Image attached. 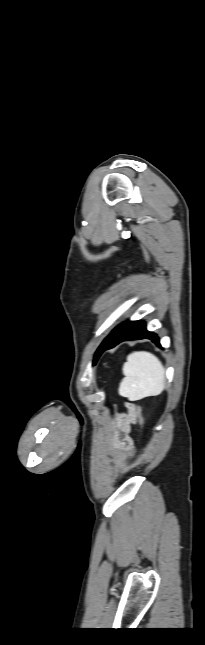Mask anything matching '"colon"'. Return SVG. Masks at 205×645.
I'll return each instance as SVG.
<instances>
[{
    "label": "colon",
    "instance_id": "colon-1",
    "mask_svg": "<svg viewBox=\"0 0 205 645\" xmlns=\"http://www.w3.org/2000/svg\"><path fill=\"white\" fill-rule=\"evenodd\" d=\"M134 410H135V414H136V418H137L138 422L140 423L141 426H143L144 417H143V408H142V406L140 404H137L136 406H134Z\"/></svg>",
    "mask_w": 205,
    "mask_h": 645
}]
</instances>
